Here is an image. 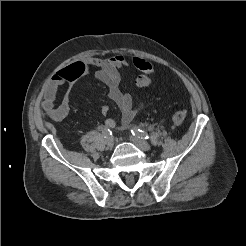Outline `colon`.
<instances>
[{
    "label": "colon",
    "instance_id": "obj_1",
    "mask_svg": "<svg viewBox=\"0 0 246 246\" xmlns=\"http://www.w3.org/2000/svg\"><path fill=\"white\" fill-rule=\"evenodd\" d=\"M134 66L141 71V74L136 78V85L139 88H147L151 84V75L153 72L152 65L145 59L135 57L133 58ZM186 118V113L183 110L175 111L171 117L172 123L175 126L181 125Z\"/></svg>",
    "mask_w": 246,
    "mask_h": 246
}]
</instances>
